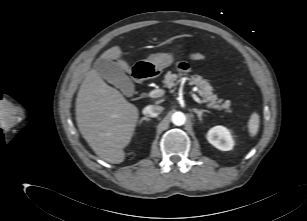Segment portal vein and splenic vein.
<instances>
[{"mask_svg": "<svg viewBox=\"0 0 307 221\" xmlns=\"http://www.w3.org/2000/svg\"><path fill=\"white\" fill-rule=\"evenodd\" d=\"M165 94V91L163 89H156V90H152L150 93H149V97L151 98H158V97H161ZM192 98L199 104L202 103V101L200 100V98L192 93Z\"/></svg>", "mask_w": 307, "mask_h": 221, "instance_id": "portal-vein-and-splenic-vein-1", "label": "portal vein and splenic vein"}]
</instances>
